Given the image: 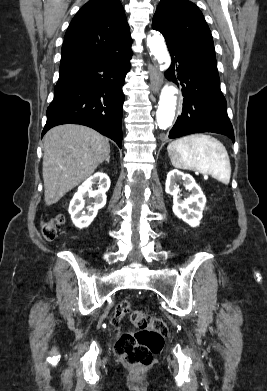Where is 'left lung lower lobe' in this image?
<instances>
[{"label":"left lung lower lobe","mask_w":267,"mask_h":391,"mask_svg":"<svg viewBox=\"0 0 267 391\" xmlns=\"http://www.w3.org/2000/svg\"><path fill=\"white\" fill-rule=\"evenodd\" d=\"M172 63L166 77L181 82L184 96L182 113L169 138L198 132H214L234 142V131L226 112V100L220 90L216 60L167 43ZM176 72V75H175Z\"/></svg>","instance_id":"obj_1"}]
</instances>
